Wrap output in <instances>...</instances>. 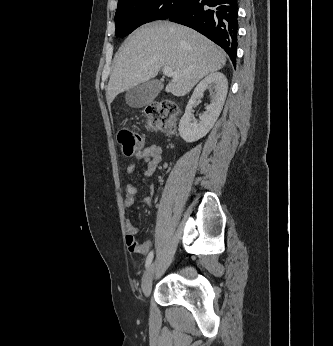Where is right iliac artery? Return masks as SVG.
<instances>
[{"mask_svg": "<svg viewBox=\"0 0 333 346\" xmlns=\"http://www.w3.org/2000/svg\"><path fill=\"white\" fill-rule=\"evenodd\" d=\"M153 256H154V253H153V251H151L146 258V263H145L146 268H148L150 266V264L153 260Z\"/></svg>", "mask_w": 333, "mask_h": 346, "instance_id": "1", "label": "right iliac artery"}]
</instances>
